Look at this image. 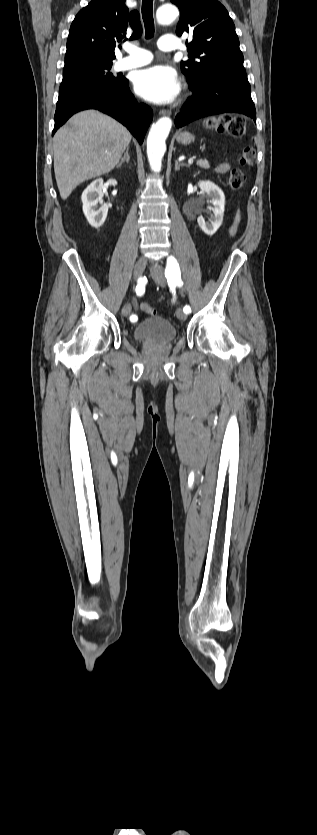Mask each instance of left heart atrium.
Listing matches in <instances>:
<instances>
[{"label":"left heart atrium","mask_w":317,"mask_h":835,"mask_svg":"<svg viewBox=\"0 0 317 835\" xmlns=\"http://www.w3.org/2000/svg\"><path fill=\"white\" fill-rule=\"evenodd\" d=\"M136 93L144 99L164 104L172 102L180 91V82L176 72L165 65H155L136 73L134 78Z\"/></svg>","instance_id":"39dd6f15"}]
</instances>
